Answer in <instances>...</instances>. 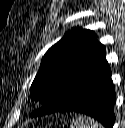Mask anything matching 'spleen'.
Returning a JSON list of instances; mask_svg holds the SVG:
<instances>
[{"label":"spleen","instance_id":"1","mask_svg":"<svg viewBox=\"0 0 125 128\" xmlns=\"http://www.w3.org/2000/svg\"><path fill=\"white\" fill-rule=\"evenodd\" d=\"M70 128H102L94 119L78 117L73 119Z\"/></svg>","mask_w":125,"mask_h":128}]
</instances>
